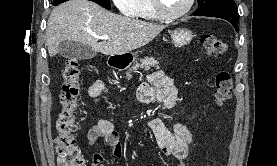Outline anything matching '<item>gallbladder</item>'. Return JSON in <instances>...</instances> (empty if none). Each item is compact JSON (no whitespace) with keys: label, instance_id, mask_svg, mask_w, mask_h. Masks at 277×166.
<instances>
[{"label":"gallbladder","instance_id":"bac80fb5","mask_svg":"<svg viewBox=\"0 0 277 166\" xmlns=\"http://www.w3.org/2000/svg\"><path fill=\"white\" fill-rule=\"evenodd\" d=\"M59 54L65 58L85 60L96 56V52L89 46L75 41H63L59 45Z\"/></svg>","mask_w":277,"mask_h":166}]
</instances>
